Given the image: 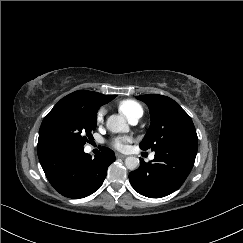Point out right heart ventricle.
Returning <instances> with one entry per match:
<instances>
[{
	"label": "right heart ventricle",
	"instance_id": "1",
	"mask_svg": "<svg viewBox=\"0 0 243 243\" xmlns=\"http://www.w3.org/2000/svg\"><path fill=\"white\" fill-rule=\"evenodd\" d=\"M118 110L128 121L135 117H141L143 114L141 105L131 99L121 101L118 104Z\"/></svg>",
	"mask_w": 243,
	"mask_h": 243
}]
</instances>
